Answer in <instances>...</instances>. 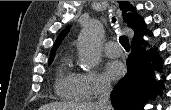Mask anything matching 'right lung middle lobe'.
<instances>
[{"mask_svg": "<svg viewBox=\"0 0 171 110\" xmlns=\"http://www.w3.org/2000/svg\"><path fill=\"white\" fill-rule=\"evenodd\" d=\"M53 59H54V56H51V57L49 58L48 65H50V64L52 63Z\"/></svg>", "mask_w": 171, "mask_h": 110, "instance_id": "obj_1", "label": "right lung middle lobe"}]
</instances>
